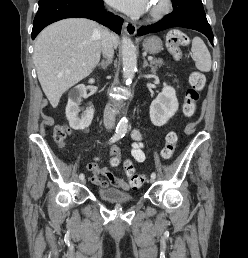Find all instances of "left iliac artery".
<instances>
[{
	"mask_svg": "<svg viewBox=\"0 0 248 258\" xmlns=\"http://www.w3.org/2000/svg\"><path fill=\"white\" fill-rule=\"evenodd\" d=\"M151 178H156V173L155 172H152Z\"/></svg>",
	"mask_w": 248,
	"mask_h": 258,
	"instance_id": "obj_1",
	"label": "left iliac artery"
}]
</instances>
